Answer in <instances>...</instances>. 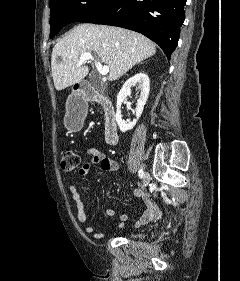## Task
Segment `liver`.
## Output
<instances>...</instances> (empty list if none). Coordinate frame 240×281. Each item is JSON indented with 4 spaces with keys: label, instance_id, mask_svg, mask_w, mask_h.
<instances>
[{
    "label": "liver",
    "instance_id": "liver-1",
    "mask_svg": "<svg viewBox=\"0 0 240 281\" xmlns=\"http://www.w3.org/2000/svg\"><path fill=\"white\" fill-rule=\"evenodd\" d=\"M83 53L95 54L109 67V81H115L133 66L156 53V45L140 33L127 29L79 24L59 40L51 55L52 77L56 90L81 82L88 66H78Z\"/></svg>",
    "mask_w": 240,
    "mask_h": 281
}]
</instances>
